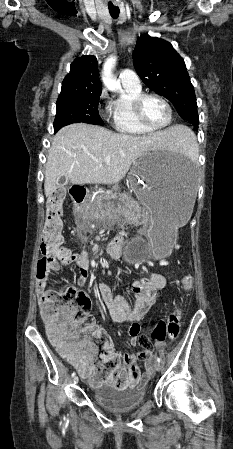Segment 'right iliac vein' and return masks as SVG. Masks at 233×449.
Returning <instances> with one entry per match:
<instances>
[{"label":"right iliac vein","mask_w":233,"mask_h":449,"mask_svg":"<svg viewBox=\"0 0 233 449\" xmlns=\"http://www.w3.org/2000/svg\"><path fill=\"white\" fill-rule=\"evenodd\" d=\"M73 382H74V384H78V382H79L78 376H75V377L73 378Z\"/></svg>","instance_id":"obj_1"}]
</instances>
